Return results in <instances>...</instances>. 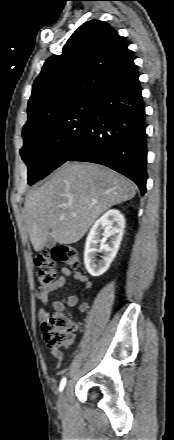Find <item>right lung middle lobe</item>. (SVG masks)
Masks as SVG:
<instances>
[{
	"label": "right lung middle lobe",
	"mask_w": 174,
	"mask_h": 440,
	"mask_svg": "<svg viewBox=\"0 0 174 440\" xmlns=\"http://www.w3.org/2000/svg\"><path fill=\"white\" fill-rule=\"evenodd\" d=\"M92 106V96H87L23 130L20 154L28 166L29 185L66 161L86 131Z\"/></svg>",
	"instance_id": "1"
}]
</instances>
